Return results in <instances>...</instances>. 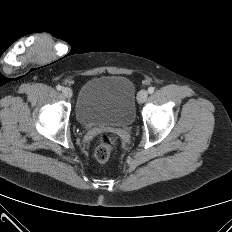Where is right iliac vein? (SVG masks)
I'll use <instances>...</instances> for the list:
<instances>
[{
  "label": "right iliac vein",
  "instance_id": "obj_1",
  "mask_svg": "<svg viewBox=\"0 0 232 232\" xmlns=\"http://www.w3.org/2000/svg\"><path fill=\"white\" fill-rule=\"evenodd\" d=\"M62 93L66 98H71L72 95H73L72 90L70 88H68V87L63 88Z\"/></svg>",
  "mask_w": 232,
  "mask_h": 232
}]
</instances>
